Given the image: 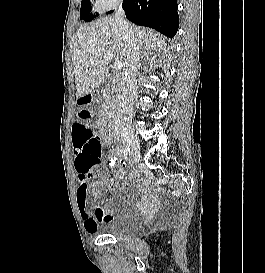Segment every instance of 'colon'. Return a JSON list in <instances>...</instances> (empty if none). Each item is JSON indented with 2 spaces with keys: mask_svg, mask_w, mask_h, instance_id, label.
I'll use <instances>...</instances> for the list:
<instances>
[{
  "mask_svg": "<svg viewBox=\"0 0 265 273\" xmlns=\"http://www.w3.org/2000/svg\"><path fill=\"white\" fill-rule=\"evenodd\" d=\"M78 149L83 150L80 167L83 170H92L99 163L100 142L96 134L89 129H78L76 141Z\"/></svg>",
  "mask_w": 265,
  "mask_h": 273,
  "instance_id": "1",
  "label": "colon"
}]
</instances>
